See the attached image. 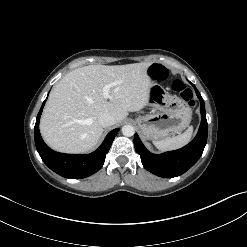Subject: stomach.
I'll return each instance as SVG.
<instances>
[{
	"label": "stomach",
	"mask_w": 247,
	"mask_h": 247,
	"mask_svg": "<svg viewBox=\"0 0 247 247\" xmlns=\"http://www.w3.org/2000/svg\"><path fill=\"white\" fill-rule=\"evenodd\" d=\"M148 104L154 111L136 119L138 127L147 139H165L189 126L192 111L187 102L169 94L157 82H153L150 87Z\"/></svg>",
	"instance_id": "0dacf381"
}]
</instances>
